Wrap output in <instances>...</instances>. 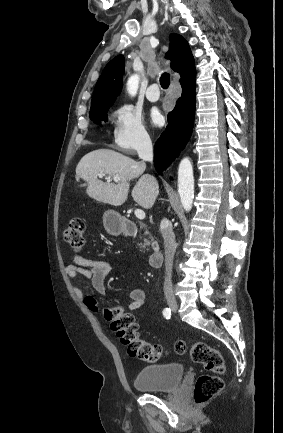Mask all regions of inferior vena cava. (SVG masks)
<instances>
[{
  "instance_id": "1",
  "label": "inferior vena cava",
  "mask_w": 283,
  "mask_h": 433,
  "mask_svg": "<svg viewBox=\"0 0 283 433\" xmlns=\"http://www.w3.org/2000/svg\"><path fill=\"white\" fill-rule=\"evenodd\" d=\"M140 158H143V160H150L152 162L153 160V146L150 138H145L143 140L140 148L137 150ZM152 180H154L155 184H157L158 188V182L154 176H151ZM162 237L164 239V249H165V281H164V293L167 295V293H173L172 291V281H171V275H172V265H173V259L176 251V241H175V235L172 231V227H164V229H161Z\"/></svg>"
}]
</instances>
